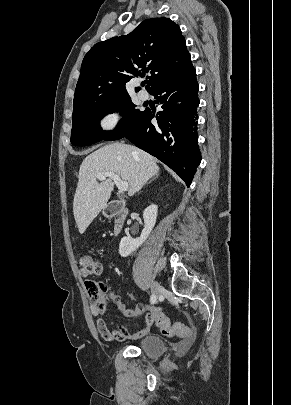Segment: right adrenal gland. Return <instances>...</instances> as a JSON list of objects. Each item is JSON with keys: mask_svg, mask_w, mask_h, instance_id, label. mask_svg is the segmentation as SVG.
<instances>
[{"mask_svg": "<svg viewBox=\"0 0 291 405\" xmlns=\"http://www.w3.org/2000/svg\"><path fill=\"white\" fill-rule=\"evenodd\" d=\"M156 177L152 178L150 181L154 180Z\"/></svg>", "mask_w": 291, "mask_h": 405, "instance_id": "right-adrenal-gland-1", "label": "right adrenal gland"}]
</instances>
